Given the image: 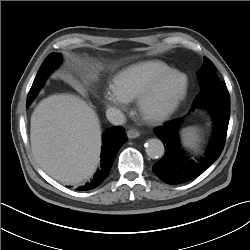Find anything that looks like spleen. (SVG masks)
Listing matches in <instances>:
<instances>
[{"mask_svg": "<svg viewBox=\"0 0 250 250\" xmlns=\"http://www.w3.org/2000/svg\"><path fill=\"white\" fill-rule=\"evenodd\" d=\"M182 143L185 147L195 149L200 142V130L195 126L184 128L181 131Z\"/></svg>", "mask_w": 250, "mask_h": 250, "instance_id": "spleen-1", "label": "spleen"}]
</instances>
